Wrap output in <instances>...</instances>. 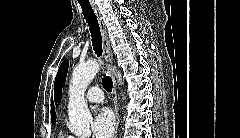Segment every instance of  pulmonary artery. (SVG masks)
Returning a JSON list of instances; mask_svg holds the SVG:
<instances>
[{
  "label": "pulmonary artery",
  "instance_id": "obj_1",
  "mask_svg": "<svg viewBox=\"0 0 240 138\" xmlns=\"http://www.w3.org/2000/svg\"><path fill=\"white\" fill-rule=\"evenodd\" d=\"M86 99L90 103L99 104L103 102V92L99 87H92L86 94Z\"/></svg>",
  "mask_w": 240,
  "mask_h": 138
}]
</instances>
